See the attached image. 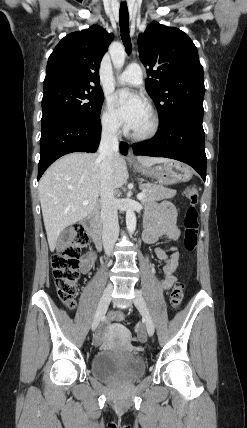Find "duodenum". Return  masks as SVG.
<instances>
[{
	"label": "duodenum",
	"instance_id": "1",
	"mask_svg": "<svg viewBox=\"0 0 247 428\" xmlns=\"http://www.w3.org/2000/svg\"><path fill=\"white\" fill-rule=\"evenodd\" d=\"M82 224L84 227L89 231L95 247L97 249H101L103 246V235L101 231V227L98 223V214L97 212H93L90 215H88L84 220L82 221Z\"/></svg>",
	"mask_w": 247,
	"mask_h": 428
}]
</instances>
